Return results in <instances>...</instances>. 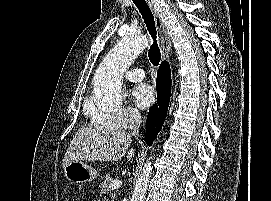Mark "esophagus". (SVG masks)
Here are the masks:
<instances>
[{
    "instance_id": "34e87169",
    "label": "esophagus",
    "mask_w": 271,
    "mask_h": 201,
    "mask_svg": "<svg viewBox=\"0 0 271 201\" xmlns=\"http://www.w3.org/2000/svg\"><path fill=\"white\" fill-rule=\"evenodd\" d=\"M146 1L149 4V6L153 12V15H154L155 24H156L157 31L159 34V42H160V47H161L162 59L166 60V59H168V54L171 49L170 37L168 35L166 27H165L164 23L162 22L159 14L153 8L151 0H146Z\"/></svg>"
}]
</instances>
